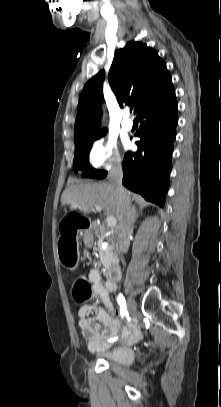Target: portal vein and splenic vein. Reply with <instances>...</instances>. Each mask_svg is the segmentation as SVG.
<instances>
[{
	"label": "portal vein and splenic vein",
	"mask_w": 221,
	"mask_h": 407,
	"mask_svg": "<svg viewBox=\"0 0 221 407\" xmlns=\"http://www.w3.org/2000/svg\"><path fill=\"white\" fill-rule=\"evenodd\" d=\"M95 209L98 212L102 211V207L99 205H95ZM106 223L110 228H114L117 225V220L114 216H107Z\"/></svg>",
	"instance_id": "portal-vein-and-splenic-vein-1"
}]
</instances>
